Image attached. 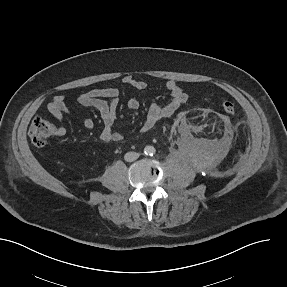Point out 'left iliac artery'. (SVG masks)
<instances>
[{
	"label": "left iliac artery",
	"mask_w": 287,
	"mask_h": 287,
	"mask_svg": "<svg viewBox=\"0 0 287 287\" xmlns=\"http://www.w3.org/2000/svg\"><path fill=\"white\" fill-rule=\"evenodd\" d=\"M155 154V151L152 152V155Z\"/></svg>",
	"instance_id": "44dca946"
}]
</instances>
